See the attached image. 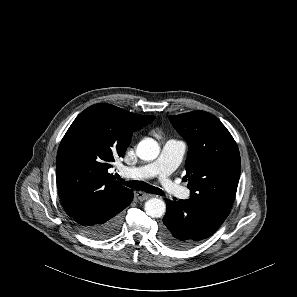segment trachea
Wrapping results in <instances>:
<instances>
[{"label":"trachea","instance_id":"3493384b","mask_svg":"<svg viewBox=\"0 0 297 297\" xmlns=\"http://www.w3.org/2000/svg\"><path fill=\"white\" fill-rule=\"evenodd\" d=\"M116 179H118L123 185L131 188V189H135V190H141V191H145L148 193H152V194H157V195H161L164 196V192L159 189L156 188L154 186H151L143 181H124L118 174H116Z\"/></svg>","mask_w":297,"mask_h":297}]
</instances>
